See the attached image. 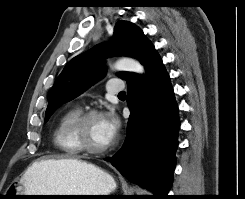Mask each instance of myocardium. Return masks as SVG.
<instances>
[{
    "instance_id": "1",
    "label": "myocardium",
    "mask_w": 245,
    "mask_h": 199,
    "mask_svg": "<svg viewBox=\"0 0 245 199\" xmlns=\"http://www.w3.org/2000/svg\"><path fill=\"white\" fill-rule=\"evenodd\" d=\"M95 116H104V114L98 109H89L81 112L71 124V135L74 138L75 144L81 151L89 154H103L113 147L112 142L105 147L95 148L90 146L83 137L87 122Z\"/></svg>"
}]
</instances>
